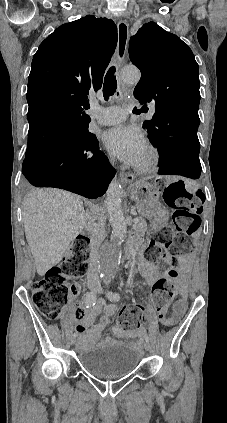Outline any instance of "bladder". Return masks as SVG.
Wrapping results in <instances>:
<instances>
[{"label": "bladder", "instance_id": "obj_1", "mask_svg": "<svg viewBox=\"0 0 227 423\" xmlns=\"http://www.w3.org/2000/svg\"><path fill=\"white\" fill-rule=\"evenodd\" d=\"M141 356L129 343H111L82 353L78 363L95 378L122 379L134 373Z\"/></svg>", "mask_w": 227, "mask_h": 423}]
</instances>
